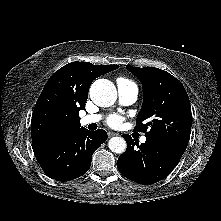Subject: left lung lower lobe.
Listing matches in <instances>:
<instances>
[{"label":"left lung lower lobe","instance_id":"obj_1","mask_svg":"<svg viewBox=\"0 0 221 221\" xmlns=\"http://www.w3.org/2000/svg\"><path fill=\"white\" fill-rule=\"evenodd\" d=\"M122 137L127 149L119 157L117 168L123 176L139 184H153L166 177L184 153L159 140L147 138L139 145L130 135Z\"/></svg>","mask_w":221,"mask_h":221}]
</instances>
